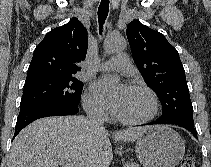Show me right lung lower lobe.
I'll return each instance as SVG.
<instances>
[{
  "label": "right lung lower lobe",
  "mask_w": 211,
  "mask_h": 167,
  "mask_svg": "<svg viewBox=\"0 0 211 167\" xmlns=\"http://www.w3.org/2000/svg\"><path fill=\"white\" fill-rule=\"evenodd\" d=\"M78 112V105L71 104H41L21 108L13 139L24 127L36 119L48 116L74 115Z\"/></svg>",
  "instance_id": "right-lung-lower-lobe-1"
}]
</instances>
